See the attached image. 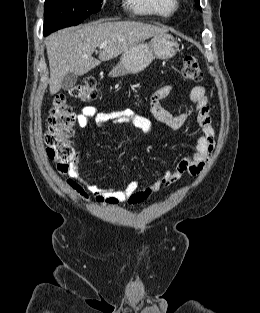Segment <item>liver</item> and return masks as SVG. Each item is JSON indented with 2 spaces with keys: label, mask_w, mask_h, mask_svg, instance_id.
<instances>
[{
  "label": "liver",
  "mask_w": 260,
  "mask_h": 313,
  "mask_svg": "<svg viewBox=\"0 0 260 313\" xmlns=\"http://www.w3.org/2000/svg\"><path fill=\"white\" fill-rule=\"evenodd\" d=\"M167 31L166 27L136 21H95L51 34L46 39L50 94L61 89L67 73L84 75L102 61L111 60L138 43ZM101 44L105 47L96 59L92 54Z\"/></svg>",
  "instance_id": "1"
}]
</instances>
